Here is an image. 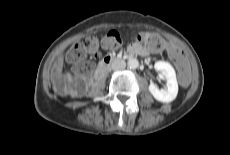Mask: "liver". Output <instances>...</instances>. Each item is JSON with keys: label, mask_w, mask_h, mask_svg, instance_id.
<instances>
[{"label": "liver", "mask_w": 230, "mask_h": 155, "mask_svg": "<svg viewBox=\"0 0 230 155\" xmlns=\"http://www.w3.org/2000/svg\"><path fill=\"white\" fill-rule=\"evenodd\" d=\"M66 77H67V80H68L69 83H72V82H73V79H72V76H71L70 73H67V74H66ZM71 94H72V93H71Z\"/></svg>", "instance_id": "6515ba94"}]
</instances>
